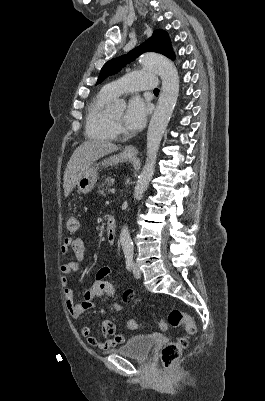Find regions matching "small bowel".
<instances>
[{
  "label": "small bowel",
  "instance_id": "1",
  "mask_svg": "<svg viewBox=\"0 0 265 401\" xmlns=\"http://www.w3.org/2000/svg\"><path fill=\"white\" fill-rule=\"evenodd\" d=\"M70 250L75 255V260L64 263L60 266V272L62 274L61 283L64 287L63 296L65 305L70 315L75 319H81L87 310L94 307V301L99 298H111L114 293L113 285L107 281L111 273V269L108 266L99 268L95 274L94 282L90 288L83 290V298L81 302L74 301V293L69 285V275L75 273L79 268V262H81L86 255V248L81 238H66L61 245L62 254H67ZM134 296L132 289L126 290L123 294L122 300L124 303L129 302ZM115 312L123 310V304L114 303L112 306ZM79 332L84 337L87 343L91 346L97 347L103 351L110 350L119 344H123L126 341V336L123 334L116 333V325L111 320H105L102 323V333L105 340L100 341L98 338L91 334V330L88 325L82 324L79 327Z\"/></svg>",
  "mask_w": 265,
  "mask_h": 401
}]
</instances>
